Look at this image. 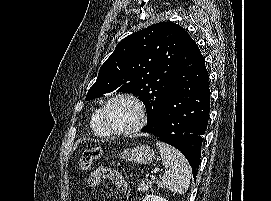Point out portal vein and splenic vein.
Returning <instances> with one entry per match:
<instances>
[{
    "instance_id": "18ae733b",
    "label": "portal vein and splenic vein",
    "mask_w": 271,
    "mask_h": 201,
    "mask_svg": "<svg viewBox=\"0 0 271 201\" xmlns=\"http://www.w3.org/2000/svg\"><path fill=\"white\" fill-rule=\"evenodd\" d=\"M155 178H156V175L153 174V175L151 176V179L154 180Z\"/></svg>"
}]
</instances>
